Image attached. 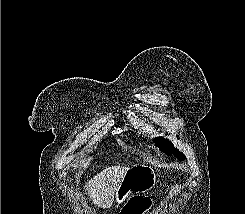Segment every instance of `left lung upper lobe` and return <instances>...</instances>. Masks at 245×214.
<instances>
[{
    "label": "left lung upper lobe",
    "mask_w": 245,
    "mask_h": 214,
    "mask_svg": "<svg viewBox=\"0 0 245 214\" xmlns=\"http://www.w3.org/2000/svg\"><path fill=\"white\" fill-rule=\"evenodd\" d=\"M154 141H156V145L160 148V150L166 152L168 155L173 154L176 158L180 160L186 159L185 155L182 152H179V150L175 148L169 140L163 139L161 137H156L154 138Z\"/></svg>",
    "instance_id": "obj_1"
}]
</instances>
